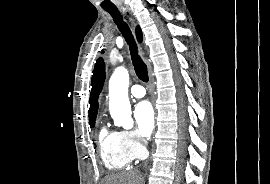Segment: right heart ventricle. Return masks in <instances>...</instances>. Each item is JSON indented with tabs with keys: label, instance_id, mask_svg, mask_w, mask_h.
Here are the masks:
<instances>
[{
	"label": "right heart ventricle",
	"instance_id": "obj_1",
	"mask_svg": "<svg viewBox=\"0 0 270 184\" xmlns=\"http://www.w3.org/2000/svg\"><path fill=\"white\" fill-rule=\"evenodd\" d=\"M98 142L101 158L108 169H123L132 162L133 157L125 148L120 132L110 131L106 127H102Z\"/></svg>",
	"mask_w": 270,
	"mask_h": 184
}]
</instances>
